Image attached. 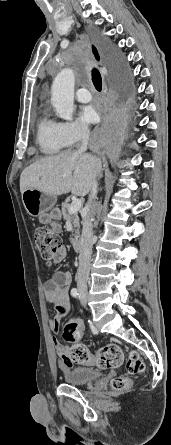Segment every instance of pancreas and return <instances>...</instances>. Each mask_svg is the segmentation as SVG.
Listing matches in <instances>:
<instances>
[{
    "label": "pancreas",
    "mask_w": 171,
    "mask_h": 445,
    "mask_svg": "<svg viewBox=\"0 0 171 445\" xmlns=\"http://www.w3.org/2000/svg\"><path fill=\"white\" fill-rule=\"evenodd\" d=\"M69 207H70L69 204L63 203L62 204V214H63L64 220L71 221L73 227L75 228L74 238L71 239V242L74 243L79 238V229H80L79 216H78L77 212L70 214L68 212Z\"/></svg>",
    "instance_id": "1"
}]
</instances>
